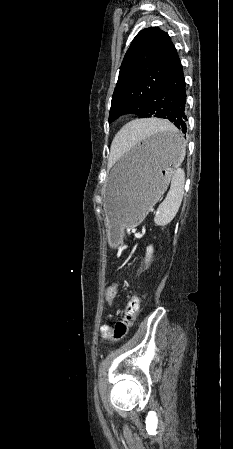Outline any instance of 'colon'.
<instances>
[{"label":"colon","instance_id":"colon-1","mask_svg":"<svg viewBox=\"0 0 233 449\" xmlns=\"http://www.w3.org/2000/svg\"><path fill=\"white\" fill-rule=\"evenodd\" d=\"M121 286V280L116 278L108 284L105 293L106 301L112 304L116 295L119 293ZM140 308V299L137 295L131 294L124 312V316L121 320L117 321L113 328L106 327L102 333L103 336L112 341H120L125 338L130 327L133 325L135 319L137 318Z\"/></svg>","mask_w":233,"mask_h":449}]
</instances>
